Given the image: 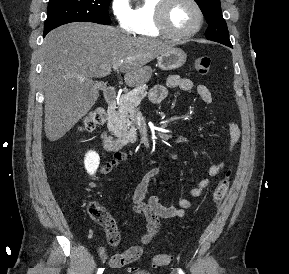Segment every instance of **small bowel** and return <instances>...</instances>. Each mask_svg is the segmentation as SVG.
Instances as JSON below:
<instances>
[{"instance_id": "small-bowel-1", "label": "small bowel", "mask_w": 289, "mask_h": 274, "mask_svg": "<svg viewBox=\"0 0 289 274\" xmlns=\"http://www.w3.org/2000/svg\"><path fill=\"white\" fill-rule=\"evenodd\" d=\"M169 88H178L187 92L195 91L203 102L207 104L212 103V94L205 85H195L190 79L182 78L178 75L169 76L165 86H154L151 91V99L154 102L163 101L167 97ZM228 135L229 138L223 149V153L229 156L234 151V148L240 139V129L237 123L231 122L228 124ZM125 160V153L115 152L113 157L100 168V172L102 174L110 173ZM223 168V162L212 164L208 168V175L210 177H215L222 172ZM163 170L164 169L161 166H156L148 170L137 185L133 194V211L145 221V233L141 238L140 244L131 246L125 251L112 256L107 254L104 247L101 246L98 248V254L101 260L109 267L122 268L138 260L143 253V247L149 244L153 237L158 233L161 220L183 217L186 211L193 207V202L188 198H180L177 206L164 205L161 201V197L157 194L150 196L146 201V195L151 181L160 175ZM210 185V179H201L193 188L190 189V197H201ZM119 240L120 236L118 232H116L115 237L113 238L107 234V241L112 247H116Z\"/></svg>"}]
</instances>
